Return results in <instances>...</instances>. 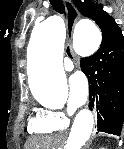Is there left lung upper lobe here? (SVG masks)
Masks as SVG:
<instances>
[{"label": "left lung upper lobe", "instance_id": "obj_1", "mask_svg": "<svg viewBox=\"0 0 124 149\" xmlns=\"http://www.w3.org/2000/svg\"><path fill=\"white\" fill-rule=\"evenodd\" d=\"M75 4L84 16L93 19L100 27L103 34L102 42L123 37L121 29L115 20L100 5H94L89 0H86L84 3L76 0Z\"/></svg>", "mask_w": 124, "mask_h": 149}]
</instances>
